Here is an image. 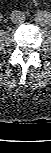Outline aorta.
Segmentation results:
<instances>
[{
    "label": "aorta",
    "mask_w": 51,
    "mask_h": 153,
    "mask_svg": "<svg viewBox=\"0 0 51 153\" xmlns=\"http://www.w3.org/2000/svg\"><path fill=\"white\" fill-rule=\"evenodd\" d=\"M36 23L43 26L46 29L51 28V13L41 12L36 15Z\"/></svg>",
    "instance_id": "762f6f07"
}]
</instances>
